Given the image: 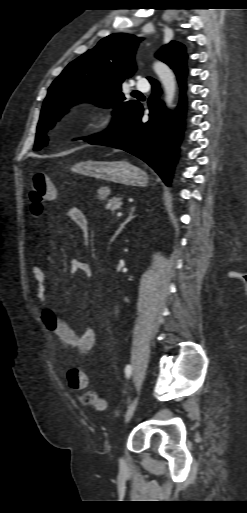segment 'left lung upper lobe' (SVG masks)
I'll use <instances>...</instances> for the list:
<instances>
[{
	"label": "left lung upper lobe",
	"mask_w": 247,
	"mask_h": 513,
	"mask_svg": "<svg viewBox=\"0 0 247 513\" xmlns=\"http://www.w3.org/2000/svg\"><path fill=\"white\" fill-rule=\"evenodd\" d=\"M141 40L131 34H111L63 70L44 100L34 150L46 145L47 130L74 104L92 102L102 107H113L116 124L134 110L139 102L127 101L121 85L136 70L134 55ZM156 57L173 70L187 59L185 47L176 41L164 46ZM148 80L151 84L157 83L153 78ZM96 136L84 140L90 141Z\"/></svg>",
	"instance_id": "left-lung-upper-lobe-1"
}]
</instances>
